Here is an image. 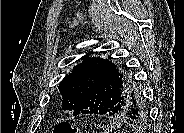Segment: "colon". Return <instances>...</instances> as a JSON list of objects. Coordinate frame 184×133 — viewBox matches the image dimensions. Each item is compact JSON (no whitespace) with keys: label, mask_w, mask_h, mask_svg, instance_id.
<instances>
[{"label":"colon","mask_w":184,"mask_h":133,"mask_svg":"<svg viewBox=\"0 0 184 133\" xmlns=\"http://www.w3.org/2000/svg\"><path fill=\"white\" fill-rule=\"evenodd\" d=\"M79 130L68 122H61L54 128V133H78Z\"/></svg>","instance_id":"5ec220e1"}]
</instances>
